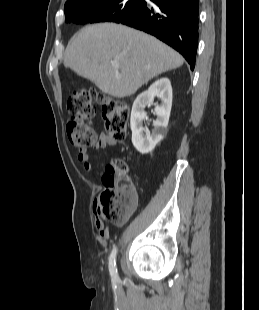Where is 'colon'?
I'll return each instance as SVG.
<instances>
[{
  "label": "colon",
  "mask_w": 259,
  "mask_h": 310,
  "mask_svg": "<svg viewBox=\"0 0 259 310\" xmlns=\"http://www.w3.org/2000/svg\"><path fill=\"white\" fill-rule=\"evenodd\" d=\"M96 104L102 108L107 134L121 140L126 134L129 105L119 99L101 95L93 89H79L68 98L69 120L67 135L69 141L78 147H95L98 136L91 121L96 114ZM103 191L96 199L99 215L115 225L125 223L137 204L127 168L123 161L113 160L105 168L102 176Z\"/></svg>",
  "instance_id": "1"
}]
</instances>
